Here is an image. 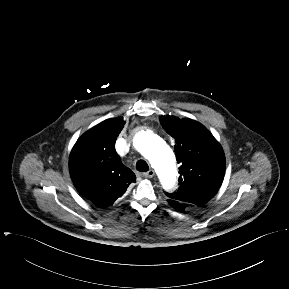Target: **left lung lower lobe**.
<instances>
[{
	"instance_id": "obj_1",
	"label": "left lung lower lobe",
	"mask_w": 289,
	"mask_h": 289,
	"mask_svg": "<svg viewBox=\"0 0 289 289\" xmlns=\"http://www.w3.org/2000/svg\"><path fill=\"white\" fill-rule=\"evenodd\" d=\"M168 203L176 210L183 212L185 209H190L195 207L192 204H188V203H183L174 199H169Z\"/></svg>"
}]
</instances>
